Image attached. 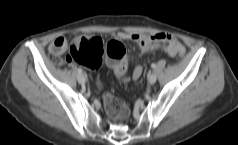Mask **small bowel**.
<instances>
[{
  "mask_svg": "<svg viewBox=\"0 0 238 145\" xmlns=\"http://www.w3.org/2000/svg\"><path fill=\"white\" fill-rule=\"evenodd\" d=\"M114 35L119 39L132 40L138 43L140 48V55H145L149 53L151 50L157 49L156 45L159 42L171 43L174 46H176L178 49L184 52V48L181 45V43L171 34L158 33L154 35H147V34L127 33V32L118 31V32H115ZM67 49L71 51V55L69 56L68 60L74 61L72 59V50L70 49V42H68L64 37L56 38L49 46V51L54 56H60ZM166 52L168 53V51ZM85 66L90 67L89 65H85ZM142 73H143L142 66L136 65L132 70V78L138 79L142 75Z\"/></svg>",
  "mask_w": 238,
  "mask_h": 145,
  "instance_id": "obj_1",
  "label": "small bowel"
}]
</instances>
